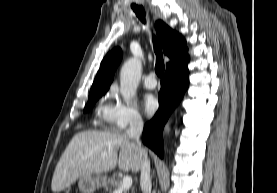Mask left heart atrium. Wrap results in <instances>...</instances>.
I'll use <instances>...</instances> for the list:
<instances>
[{
    "label": "left heart atrium",
    "mask_w": 277,
    "mask_h": 193,
    "mask_svg": "<svg viewBox=\"0 0 277 193\" xmlns=\"http://www.w3.org/2000/svg\"><path fill=\"white\" fill-rule=\"evenodd\" d=\"M142 105L147 115H152L158 108V101L152 94H145L142 99Z\"/></svg>",
    "instance_id": "1"
}]
</instances>
